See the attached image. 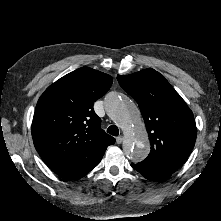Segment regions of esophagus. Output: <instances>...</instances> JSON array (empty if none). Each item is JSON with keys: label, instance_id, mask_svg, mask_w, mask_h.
I'll return each instance as SVG.
<instances>
[{"label": "esophagus", "instance_id": "obj_1", "mask_svg": "<svg viewBox=\"0 0 221 221\" xmlns=\"http://www.w3.org/2000/svg\"><path fill=\"white\" fill-rule=\"evenodd\" d=\"M123 142V137L122 136H119L116 138V143L117 144H121Z\"/></svg>", "mask_w": 221, "mask_h": 221}]
</instances>
